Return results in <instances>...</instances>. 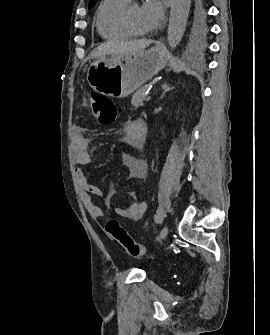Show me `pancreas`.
<instances>
[{
	"label": "pancreas",
	"instance_id": "cf45deb5",
	"mask_svg": "<svg viewBox=\"0 0 270 335\" xmlns=\"http://www.w3.org/2000/svg\"><path fill=\"white\" fill-rule=\"evenodd\" d=\"M146 92V86H143V88H139L135 94L132 96V106H135V108H139V106H145L143 100H145L146 96H144Z\"/></svg>",
	"mask_w": 270,
	"mask_h": 335
}]
</instances>
